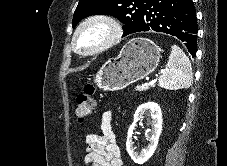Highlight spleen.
<instances>
[{
	"label": "spleen",
	"mask_w": 227,
	"mask_h": 166,
	"mask_svg": "<svg viewBox=\"0 0 227 166\" xmlns=\"http://www.w3.org/2000/svg\"><path fill=\"white\" fill-rule=\"evenodd\" d=\"M193 82L189 58L177 45L171 47L165 71L159 78V86L168 90L187 89Z\"/></svg>",
	"instance_id": "3e777b00"
}]
</instances>
